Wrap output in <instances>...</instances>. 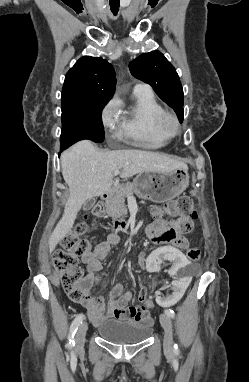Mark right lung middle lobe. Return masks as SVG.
Returning a JSON list of instances; mask_svg holds the SVG:
<instances>
[{"label": "right lung middle lobe", "mask_w": 249, "mask_h": 382, "mask_svg": "<svg viewBox=\"0 0 249 382\" xmlns=\"http://www.w3.org/2000/svg\"><path fill=\"white\" fill-rule=\"evenodd\" d=\"M108 101L99 99L62 108L61 148L66 149L84 139L97 143L103 142L104 130L101 112Z\"/></svg>", "instance_id": "right-lung-middle-lobe-1"}]
</instances>
